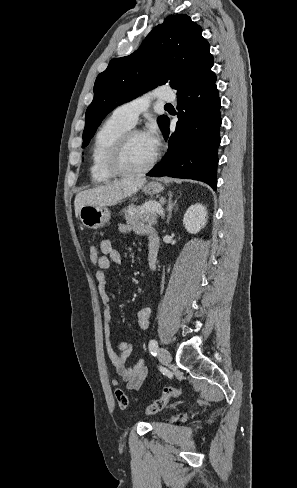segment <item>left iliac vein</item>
I'll list each match as a JSON object with an SVG mask.
<instances>
[{
    "instance_id": "1",
    "label": "left iliac vein",
    "mask_w": 297,
    "mask_h": 488,
    "mask_svg": "<svg viewBox=\"0 0 297 488\" xmlns=\"http://www.w3.org/2000/svg\"><path fill=\"white\" fill-rule=\"evenodd\" d=\"M157 355H158V359H159V361H160V362H161L163 365H168V364H170V363H171V361H172V357H171L170 353H169V352H168L166 349H164V348H160V349L158 350Z\"/></svg>"
}]
</instances>
